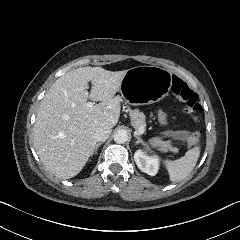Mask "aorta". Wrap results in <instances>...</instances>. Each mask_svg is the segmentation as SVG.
<instances>
[{"label": "aorta", "instance_id": "762f6f07", "mask_svg": "<svg viewBox=\"0 0 240 240\" xmlns=\"http://www.w3.org/2000/svg\"><path fill=\"white\" fill-rule=\"evenodd\" d=\"M113 138L116 143L123 144L128 139V133L126 130H118L114 133Z\"/></svg>", "mask_w": 240, "mask_h": 240}]
</instances>
